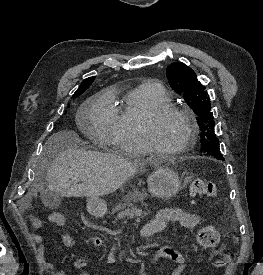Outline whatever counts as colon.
<instances>
[{"mask_svg":"<svg viewBox=\"0 0 263 275\" xmlns=\"http://www.w3.org/2000/svg\"><path fill=\"white\" fill-rule=\"evenodd\" d=\"M190 195L193 198H215L217 196V187L211 180L197 178L190 185ZM51 218L54 223H60L63 220L60 214H54ZM197 242L204 248L213 247L219 242V234L213 227H205L198 232ZM228 261V257H220L213 262V266L215 268H222Z\"/></svg>","mask_w":263,"mask_h":275,"instance_id":"obj_1","label":"colon"}]
</instances>
